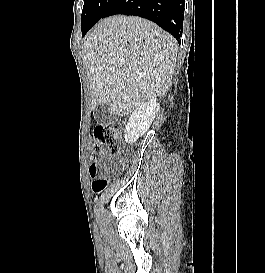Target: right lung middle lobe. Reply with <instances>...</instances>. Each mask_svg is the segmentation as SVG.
<instances>
[{"mask_svg": "<svg viewBox=\"0 0 265 273\" xmlns=\"http://www.w3.org/2000/svg\"><path fill=\"white\" fill-rule=\"evenodd\" d=\"M115 0H84L81 30L85 34L96 22L104 17L105 12Z\"/></svg>", "mask_w": 265, "mask_h": 273, "instance_id": "obj_1", "label": "right lung middle lobe"}]
</instances>
